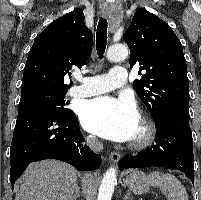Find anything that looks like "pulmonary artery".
Segmentation results:
<instances>
[{"mask_svg":"<svg viewBox=\"0 0 201 200\" xmlns=\"http://www.w3.org/2000/svg\"><path fill=\"white\" fill-rule=\"evenodd\" d=\"M78 79L81 85L71 87L68 95L75 98L91 97L121 87L126 80V70L121 66H115L107 74L78 77Z\"/></svg>","mask_w":201,"mask_h":200,"instance_id":"1","label":"pulmonary artery"}]
</instances>
